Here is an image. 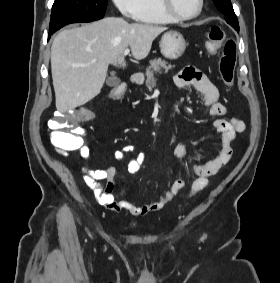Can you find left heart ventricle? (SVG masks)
<instances>
[{
  "instance_id": "left-heart-ventricle-1",
  "label": "left heart ventricle",
  "mask_w": 280,
  "mask_h": 283,
  "mask_svg": "<svg viewBox=\"0 0 280 283\" xmlns=\"http://www.w3.org/2000/svg\"><path fill=\"white\" fill-rule=\"evenodd\" d=\"M174 9L182 15L194 14L199 6V0H171Z\"/></svg>"
}]
</instances>
